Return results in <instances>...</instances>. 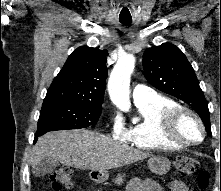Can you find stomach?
Wrapping results in <instances>:
<instances>
[{"mask_svg":"<svg viewBox=\"0 0 221 191\" xmlns=\"http://www.w3.org/2000/svg\"><path fill=\"white\" fill-rule=\"evenodd\" d=\"M171 163L170 161L161 156H152L148 160V168L157 175H164L166 174L170 169ZM93 178L97 182H105L109 178L108 171H92Z\"/></svg>","mask_w":221,"mask_h":191,"instance_id":"obj_1","label":"stomach"}]
</instances>
